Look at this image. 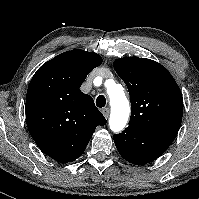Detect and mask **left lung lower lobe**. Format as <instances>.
<instances>
[{
    "label": "left lung lower lobe",
    "mask_w": 199,
    "mask_h": 199,
    "mask_svg": "<svg viewBox=\"0 0 199 199\" xmlns=\"http://www.w3.org/2000/svg\"><path fill=\"white\" fill-rule=\"evenodd\" d=\"M120 155L128 162L143 165L160 157L172 142L128 126L113 136Z\"/></svg>",
    "instance_id": "1"
}]
</instances>
